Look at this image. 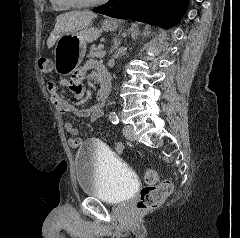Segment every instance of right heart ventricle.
Instances as JSON below:
<instances>
[{
  "instance_id": "obj_1",
  "label": "right heart ventricle",
  "mask_w": 240,
  "mask_h": 238,
  "mask_svg": "<svg viewBox=\"0 0 240 238\" xmlns=\"http://www.w3.org/2000/svg\"><path fill=\"white\" fill-rule=\"evenodd\" d=\"M51 3L55 6H69L66 3V0H50Z\"/></svg>"
}]
</instances>
